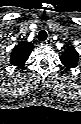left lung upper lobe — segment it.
<instances>
[{
  "label": "left lung upper lobe",
  "mask_w": 81,
  "mask_h": 124,
  "mask_svg": "<svg viewBox=\"0 0 81 124\" xmlns=\"http://www.w3.org/2000/svg\"><path fill=\"white\" fill-rule=\"evenodd\" d=\"M61 62L66 69L75 68L79 62V54L73 46H69L61 55Z\"/></svg>",
  "instance_id": "left-lung-upper-lobe-1"
}]
</instances>
